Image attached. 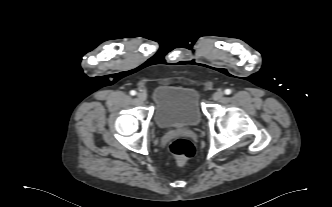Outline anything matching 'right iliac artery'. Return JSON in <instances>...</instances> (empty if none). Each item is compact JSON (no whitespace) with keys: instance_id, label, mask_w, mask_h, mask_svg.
Here are the masks:
<instances>
[{"instance_id":"right-iliac-artery-1","label":"right iliac artery","mask_w":332,"mask_h":207,"mask_svg":"<svg viewBox=\"0 0 332 207\" xmlns=\"http://www.w3.org/2000/svg\"><path fill=\"white\" fill-rule=\"evenodd\" d=\"M130 94H131L132 96H134V95H136V91L131 90V91H130Z\"/></svg>"}]
</instances>
